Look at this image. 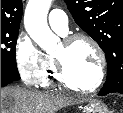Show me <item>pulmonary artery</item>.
Returning <instances> with one entry per match:
<instances>
[{"instance_id": "1", "label": "pulmonary artery", "mask_w": 123, "mask_h": 113, "mask_svg": "<svg viewBox=\"0 0 123 113\" xmlns=\"http://www.w3.org/2000/svg\"><path fill=\"white\" fill-rule=\"evenodd\" d=\"M48 23L54 31L62 35H65L68 31V17L62 10L53 9L49 13Z\"/></svg>"}]
</instances>
